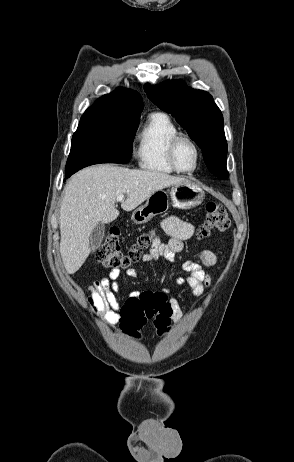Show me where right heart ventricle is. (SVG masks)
<instances>
[{"mask_svg":"<svg viewBox=\"0 0 294 462\" xmlns=\"http://www.w3.org/2000/svg\"><path fill=\"white\" fill-rule=\"evenodd\" d=\"M178 134V127L166 113L150 114L137 137L136 156L139 166L152 173H174L167 151L171 139Z\"/></svg>","mask_w":294,"mask_h":462,"instance_id":"1","label":"right heart ventricle"}]
</instances>
